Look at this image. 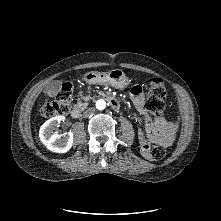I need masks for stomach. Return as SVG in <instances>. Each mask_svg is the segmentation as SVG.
Instances as JSON below:
<instances>
[{
	"instance_id": "stomach-1",
	"label": "stomach",
	"mask_w": 221,
	"mask_h": 221,
	"mask_svg": "<svg viewBox=\"0 0 221 221\" xmlns=\"http://www.w3.org/2000/svg\"><path fill=\"white\" fill-rule=\"evenodd\" d=\"M83 80L88 84L110 85L116 89H125L129 85V80L121 69L87 72Z\"/></svg>"
}]
</instances>
